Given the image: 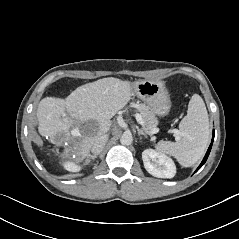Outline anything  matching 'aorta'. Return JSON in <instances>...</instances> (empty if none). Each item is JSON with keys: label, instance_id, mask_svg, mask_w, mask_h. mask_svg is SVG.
Instances as JSON below:
<instances>
[{"label": "aorta", "instance_id": "1", "mask_svg": "<svg viewBox=\"0 0 239 239\" xmlns=\"http://www.w3.org/2000/svg\"><path fill=\"white\" fill-rule=\"evenodd\" d=\"M120 142L122 145L125 146L131 145L133 142V137L131 133H124L120 138Z\"/></svg>", "mask_w": 239, "mask_h": 239}]
</instances>
